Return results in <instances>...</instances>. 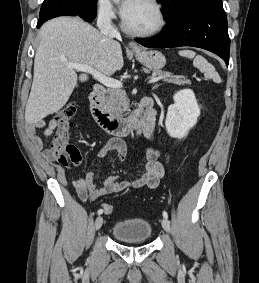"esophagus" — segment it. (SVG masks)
I'll return each mask as SVG.
<instances>
[{"mask_svg": "<svg viewBox=\"0 0 259 283\" xmlns=\"http://www.w3.org/2000/svg\"><path fill=\"white\" fill-rule=\"evenodd\" d=\"M129 47L135 52L140 50L139 45L135 43L134 41L129 42Z\"/></svg>", "mask_w": 259, "mask_h": 283, "instance_id": "obj_1", "label": "esophagus"}]
</instances>
